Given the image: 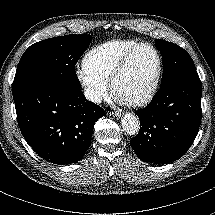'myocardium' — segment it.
Wrapping results in <instances>:
<instances>
[{
	"mask_svg": "<svg viewBox=\"0 0 215 215\" xmlns=\"http://www.w3.org/2000/svg\"><path fill=\"white\" fill-rule=\"evenodd\" d=\"M143 46H149L154 50L157 57V69L146 91L139 98L133 101L124 102L127 106L133 107V108L141 107L147 104L153 98L156 92V89L159 85L160 78L162 75L163 63H162V56L158 48L150 42H138L137 44L132 46L119 61L109 81L110 92L112 95H114V87L116 82L119 80V78L123 75V73L127 69L129 62L132 56L134 55V53Z\"/></svg>",
	"mask_w": 215,
	"mask_h": 215,
	"instance_id": "f54148a6",
	"label": "myocardium"
}]
</instances>
